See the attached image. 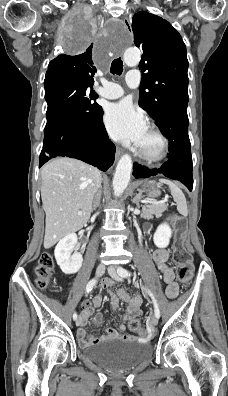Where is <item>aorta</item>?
<instances>
[{
	"instance_id": "1",
	"label": "aorta",
	"mask_w": 228,
	"mask_h": 396,
	"mask_svg": "<svg viewBox=\"0 0 228 396\" xmlns=\"http://www.w3.org/2000/svg\"><path fill=\"white\" fill-rule=\"evenodd\" d=\"M140 58L139 50L128 48L124 52V62L129 67L138 65ZM131 172L132 158L129 154H124L117 163L113 178V190L116 197H119L128 186Z\"/></svg>"
}]
</instances>
